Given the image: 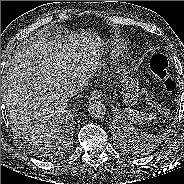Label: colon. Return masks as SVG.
<instances>
[{
	"label": "colon",
	"mask_w": 184,
	"mask_h": 184,
	"mask_svg": "<svg viewBox=\"0 0 184 184\" xmlns=\"http://www.w3.org/2000/svg\"><path fill=\"white\" fill-rule=\"evenodd\" d=\"M150 68L159 79L164 81L168 91L174 90V82L168 76V60L166 56L163 54L154 55L150 60Z\"/></svg>",
	"instance_id": "obj_1"
}]
</instances>
